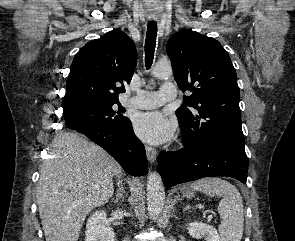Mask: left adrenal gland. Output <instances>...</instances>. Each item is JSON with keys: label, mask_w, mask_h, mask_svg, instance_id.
Instances as JSON below:
<instances>
[{"label": "left adrenal gland", "mask_w": 295, "mask_h": 241, "mask_svg": "<svg viewBox=\"0 0 295 241\" xmlns=\"http://www.w3.org/2000/svg\"><path fill=\"white\" fill-rule=\"evenodd\" d=\"M188 209H191V206L190 205H186L185 208L183 209V211H186Z\"/></svg>", "instance_id": "a2214340"}]
</instances>
